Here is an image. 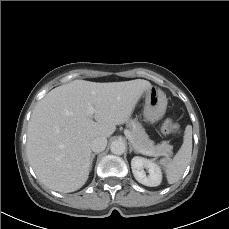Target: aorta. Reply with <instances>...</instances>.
Here are the masks:
<instances>
[{"label":"aorta","instance_id":"aorta-1","mask_svg":"<svg viewBox=\"0 0 229 229\" xmlns=\"http://www.w3.org/2000/svg\"><path fill=\"white\" fill-rule=\"evenodd\" d=\"M110 150L113 154L122 155L126 150V145L121 140H115L111 143Z\"/></svg>","mask_w":229,"mask_h":229}]
</instances>
